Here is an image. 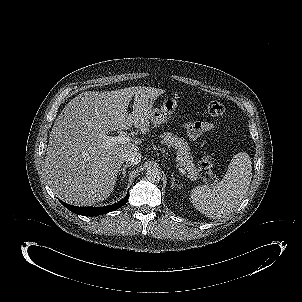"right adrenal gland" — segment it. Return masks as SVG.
<instances>
[{
  "label": "right adrenal gland",
  "mask_w": 302,
  "mask_h": 302,
  "mask_svg": "<svg viewBox=\"0 0 302 302\" xmlns=\"http://www.w3.org/2000/svg\"><path fill=\"white\" fill-rule=\"evenodd\" d=\"M128 167H130V165L126 164V165H124L123 168H121V169L118 171L119 174L122 173V179H121V180H123V178H125V176H126V169H127Z\"/></svg>",
  "instance_id": "1"
}]
</instances>
